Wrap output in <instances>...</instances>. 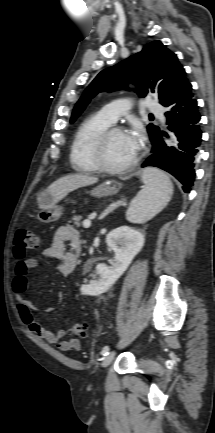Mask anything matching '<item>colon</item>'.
<instances>
[{
    "mask_svg": "<svg viewBox=\"0 0 215 433\" xmlns=\"http://www.w3.org/2000/svg\"><path fill=\"white\" fill-rule=\"evenodd\" d=\"M40 244V236L33 229L22 227L16 234L15 255L19 259H25L27 252L38 248ZM70 331L78 337H84L87 334V325L82 322H74L70 327Z\"/></svg>",
    "mask_w": 215,
    "mask_h": 433,
    "instance_id": "obj_1",
    "label": "colon"
}]
</instances>
